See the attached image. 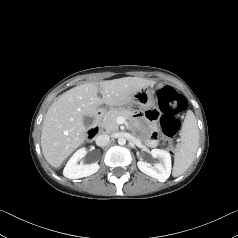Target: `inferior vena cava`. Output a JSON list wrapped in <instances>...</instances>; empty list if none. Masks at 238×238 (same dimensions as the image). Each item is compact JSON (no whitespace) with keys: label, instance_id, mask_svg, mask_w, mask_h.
I'll use <instances>...</instances> for the list:
<instances>
[{"label":"inferior vena cava","instance_id":"1","mask_svg":"<svg viewBox=\"0 0 238 238\" xmlns=\"http://www.w3.org/2000/svg\"><path fill=\"white\" fill-rule=\"evenodd\" d=\"M110 141V137L107 134H100L96 137L95 142L98 146H106Z\"/></svg>","mask_w":238,"mask_h":238}]
</instances>
